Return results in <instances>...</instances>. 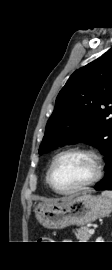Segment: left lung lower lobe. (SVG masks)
<instances>
[{
  "mask_svg": "<svg viewBox=\"0 0 112 270\" xmlns=\"http://www.w3.org/2000/svg\"><path fill=\"white\" fill-rule=\"evenodd\" d=\"M104 178L95 185L97 190H112V154L106 162Z\"/></svg>",
  "mask_w": 112,
  "mask_h": 270,
  "instance_id": "left-lung-lower-lobe-1",
  "label": "left lung lower lobe"
}]
</instances>
